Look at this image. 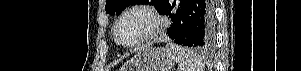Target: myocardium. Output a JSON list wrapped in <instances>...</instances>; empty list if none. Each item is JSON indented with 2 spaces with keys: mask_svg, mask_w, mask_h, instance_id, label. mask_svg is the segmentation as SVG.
Wrapping results in <instances>:
<instances>
[{
  "mask_svg": "<svg viewBox=\"0 0 301 71\" xmlns=\"http://www.w3.org/2000/svg\"><path fill=\"white\" fill-rule=\"evenodd\" d=\"M134 13H142L145 16H147L150 19V27L147 30V32L139 38L137 41L133 43H123L119 37H118V28L120 26V23L122 20ZM164 23L163 19L160 16V14L153 8L147 6V5H134L126 10H124L119 17L117 18L114 27H113V37L115 42L124 48L132 49V48H137L150 40H152L155 36H157L163 29Z\"/></svg>",
  "mask_w": 301,
  "mask_h": 71,
  "instance_id": "obj_1",
  "label": "myocardium"
}]
</instances>
